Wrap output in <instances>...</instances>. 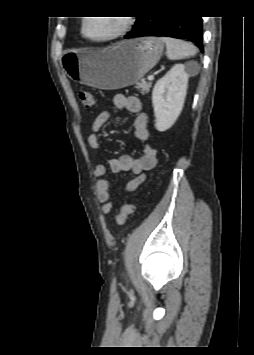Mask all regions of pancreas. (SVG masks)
Here are the masks:
<instances>
[{
    "label": "pancreas",
    "instance_id": "pancreas-1",
    "mask_svg": "<svg viewBox=\"0 0 254 355\" xmlns=\"http://www.w3.org/2000/svg\"><path fill=\"white\" fill-rule=\"evenodd\" d=\"M151 86H152V82L151 81L150 82H142V83H138L136 88L140 89V93L142 95H144V94H147L149 92Z\"/></svg>",
    "mask_w": 254,
    "mask_h": 355
}]
</instances>
